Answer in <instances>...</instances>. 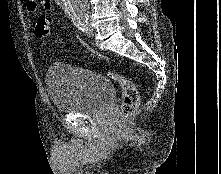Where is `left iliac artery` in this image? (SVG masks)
Returning a JSON list of instances; mask_svg holds the SVG:
<instances>
[{"mask_svg": "<svg viewBox=\"0 0 221 174\" xmlns=\"http://www.w3.org/2000/svg\"><path fill=\"white\" fill-rule=\"evenodd\" d=\"M86 24H87V21L85 22V24H84V27H83L82 31H84V30H85Z\"/></svg>", "mask_w": 221, "mask_h": 174, "instance_id": "1", "label": "left iliac artery"}]
</instances>
